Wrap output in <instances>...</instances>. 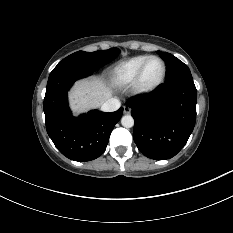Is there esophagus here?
<instances>
[{
    "mask_svg": "<svg viewBox=\"0 0 233 233\" xmlns=\"http://www.w3.org/2000/svg\"><path fill=\"white\" fill-rule=\"evenodd\" d=\"M123 111H124V114H130L131 108L125 105L123 106Z\"/></svg>",
    "mask_w": 233,
    "mask_h": 233,
    "instance_id": "esophagus-1",
    "label": "esophagus"
}]
</instances>
